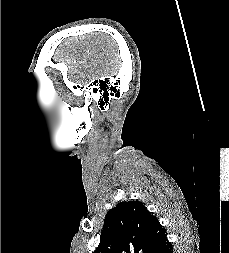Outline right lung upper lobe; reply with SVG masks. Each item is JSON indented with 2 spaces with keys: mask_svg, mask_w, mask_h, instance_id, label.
<instances>
[{
  "mask_svg": "<svg viewBox=\"0 0 229 253\" xmlns=\"http://www.w3.org/2000/svg\"><path fill=\"white\" fill-rule=\"evenodd\" d=\"M166 241V230L141 202H120L107 213L93 253H155Z\"/></svg>",
  "mask_w": 229,
  "mask_h": 253,
  "instance_id": "right-lung-upper-lobe-1",
  "label": "right lung upper lobe"
}]
</instances>
